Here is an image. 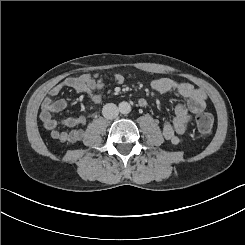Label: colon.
Returning <instances> with one entry per match:
<instances>
[{"instance_id":"5ec220e1","label":"colon","mask_w":245,"mask_h":245,"mask_svg":"<svg viewBox=\"0 0 245 245\" xmlns=\"http://www.w3.org/2000/svg\"><path fill=\"white\" fill-rule=\"evenodd\" d=\"M214 117L209 112H203L196 118V126L200 133L209 134L212 131Z\"/></svg>"}]
</instances>
